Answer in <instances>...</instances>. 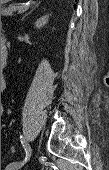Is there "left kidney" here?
<instances>
[{"label":"left kidney","mask_w":109,"mask_h":170,"mask_svg":"<svg viewBox=\"0 0 109 170\" xmlns=\"http://www.w3.org/2000/svg\"><path fill=\"white\" fill-rule=\"evenodd\" d=\"M47 23H48V16H43L36 21L35 27L40 29L41 27H43Z\"/></svg>","instance_id":"left-kidney-1"}]
</instances>
